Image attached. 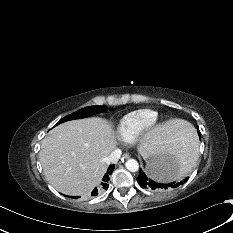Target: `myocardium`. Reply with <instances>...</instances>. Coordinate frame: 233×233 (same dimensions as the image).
Returning a JSON list of instances; mask_svg holds the SVG:
<instances>
[{
    "label": "myocardium",
    "instance_id": "myocardium-1",
    "mask_svg": "<svg viewBox=\"0 0 233 233\" xmlns=\"http://www.w3.org/2000/svg\"><path fill=\"white\" fill-rule=\"evenodd\" d=\"M157 123V118H156V120H155V122H154V124L153 125H155Z\"/></svg>",
    "mask_w": 233,
    "mask_h": 233
}]
</instances>
